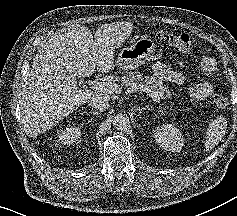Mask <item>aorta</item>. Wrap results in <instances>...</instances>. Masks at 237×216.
Segmentation results:
<instances>
[{
    "mask_svg": "<svg viewBox=\"0 0 237 216\" xmlns=\"http://www.w3.org/2000/svg\"><path fill=\"white\" fill-rule=\"evenodd\" d=\"M112 123L117 130H123L129 124V117L126 114L118 113L113 117Z\"/></svg>",
    "mask_w": 237,
    "mask_h": 216,
    "instance_id": "1",
    "label": "aorta"
}]
</instances>
